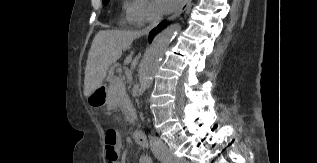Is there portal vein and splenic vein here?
<instances>
[{"instance_id": "1", "label": "portal vein and splenic vein", "mask_w": 317, "mask_h": 163, "mask_svg": "<svg viewBox=\"0 0 317 163\" xmlns=\"http://www.w3.org/2000/svg\"><path fill=\"white\" fill-rule=\"evenodd\" d=\"M116 82H117V84H121V82L119 80H117Z\"/></svg>"}]
</instances>
